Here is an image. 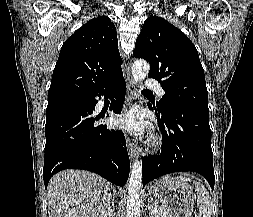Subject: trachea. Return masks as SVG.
<instances>
[{
	"label": "trachea",
	"instance_id": "1",
	"mask_svg": "<svg viewBox=\"0 0 253 217\" xmlns=\"http://www.w3.org/2000/svg\"><path fill=\"white\" fill-rule=\"evenodd\" d=\"M144 91L150 92V91H149V90H147V89H144Z\"/></svg>",
	"mask_w": 253,
	"mask_h": 217
}]
</instances>
